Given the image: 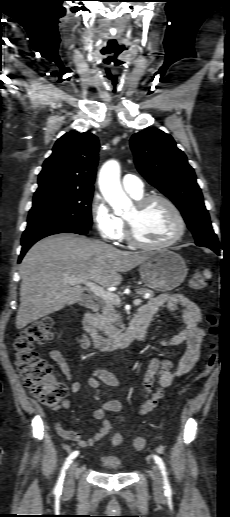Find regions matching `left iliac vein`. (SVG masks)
I'll use <instances>...</instances> for the list:
<instances>
[{
  "label": "left iliac vein",
  "instance_id": "1",
  "mask_svg": "<svg viewBox=\"0 0 230 517\" xmlns=\"http://www.w3.org/2000/svg\"><path fill=\"white\" fill-rule=\"evenodd\" d=\"M151 478L153 480V489L156 495L164 494L163 480L157 465H152Z\"/></svg>",
  "mask_w": 230,
  "mask_h": 517
}]
</instances>
